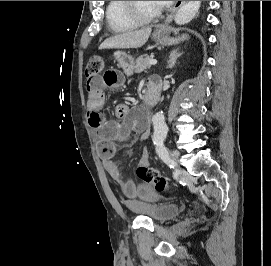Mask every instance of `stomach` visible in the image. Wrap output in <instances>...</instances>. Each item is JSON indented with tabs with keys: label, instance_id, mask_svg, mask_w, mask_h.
I'll return each instance as SVG.
<instances>
[{
	"label": "stomach",
	"instance_id": "obj_1",
	"mask_svg": "<svg viewBox=\"0 0 271 266\" xmlns=\"http://www.w3.org/2000/svg\"><path fill=\"white\" fill-rule=\"evenodd\" d=\"M168 28H163L156 30L152 34V38L159 44L170 46L180 43L181 41L187 40L189 36L187 34H182L178 37H172L169 34ZM115 60L119 63L120 67L125 73L130 74L134 67V59L123 51H116L114 53Z\"/></svg>",
	"mask_w": 271,
	"mask_h": 266
}]
</instances>
